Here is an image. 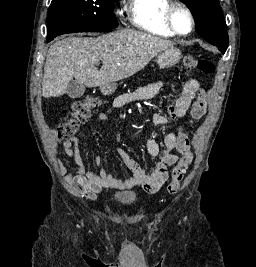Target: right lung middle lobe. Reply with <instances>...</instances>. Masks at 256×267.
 Returning a JSON list of instances; mask_svg holds the SVG:
<instances>
[{
    "label": "right lung middle lobe",
    "mask_w": 256,
    "mask_h": 267,
    "mask_svg": "<svg viewBox=\"0 0 256 267\" xmlns=\"http://www.w3.org/2000/svg\"><path fill=\"white\" fill-rule=\"evenodd\" d=\"M119 0H52L48 10L47 42L74 32H102L117 27L113 14Z\"/></svg>",
    "instance_id": "1"
}]
</instances>
